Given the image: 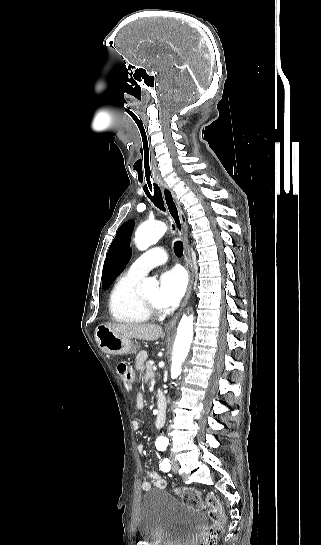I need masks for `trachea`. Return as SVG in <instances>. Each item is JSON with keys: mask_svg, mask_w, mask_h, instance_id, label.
<instances>
[{"mask_svg": "<svg viewBox=\"0 0 321 545\" xmlns=\"http://www.w3.org/2000/svg\"><path fill=\"white\" fill-rule=\"evenodd\" d=\"M122 112L127 113V115L130 116V119L132 122L137 126L138 132L140 135L141 144L143 145V169L142 172L145 175L144 177V187L143 190L154 203L157 208L165 212L164 207V201L162 197V193L160 188L157 185L158 177L156 174H152L153 167H154V159L153 154L151 152L150 144L148 143V132L145 129V126L142 124V122L138 119V115L136 113H133L132 110L128 109L127 107H122L120 109ZM174 230V226H173ZM183 243L180 241H177L174 243V252L177 257H182L183 255Z\"/></svg>", "mask_w": 321, "mask_h": 545, "instance_id": "trachea-1", "label": "trachea"}]
</instances>
